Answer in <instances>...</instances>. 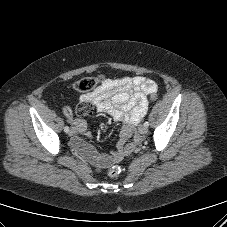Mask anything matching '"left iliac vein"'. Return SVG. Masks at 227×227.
Listing matches in <instances>:
<instances>
[{"mask_svg": "<svg viewBox=\"0 0 227 227\" xmlns=\"http://www.w3.org/2000/svg\"><path fill=\"white\" fill-rule=\"evenodd\" d=\"M139 132L144 135L148 132V128L145 125H140Z\"/></svg>", "mask_w": 227, "mask_h": 227, "instance_id": "4c4485c4", "label": "left iliac vein"}]
</instances>
